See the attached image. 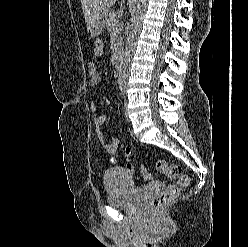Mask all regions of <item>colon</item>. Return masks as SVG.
Instances as JSON below:
<instances>
[{
    "label": "colon",
    "mask_w": 248,
    "mask_h": 247,
    "mask_svg": "<svg viewBox=\"0 0 248 247\" xmlns=\"http://www.w3.org/2000/svg\"><path fill=\"white\" fill-rule=\"evenodd\" d=\"M156 168L169 179L176 181L151 200V209L158 211L173 201L178 196L180 190L189 185L190 179L183 173L181 166L177 164H168L164 160H158ZM141 174L145 179L151 178L150 172L144 166L141 167Z\"/></svg>",
    "instance_id": "colon-1"
}]
</instances>
